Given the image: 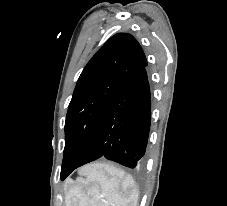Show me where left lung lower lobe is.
<instances>
[{
  "label": "left lung lower lobe",
  "instance_id": "0a47b994",
  "mask_svg": "<svg viewBox=\"0 0 227 206\" xmlns=\"http://www.w3.org/2000/svg\"><path fill=\"white\" fill-rule=\"evenodd\" d=\"M145 67L114 96L87 152L74 167L61 171V180L74 169L100 158L105 157L130 168L136 167L143 158L151 121V97Z\"/></svg>",
  "mask_w": 227,
  "mask_h": 206
}]
</instances>
